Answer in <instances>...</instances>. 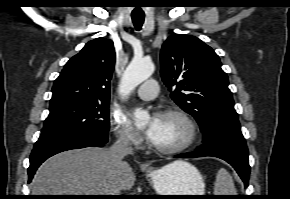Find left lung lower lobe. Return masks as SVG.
I'll use <instances>...</instances> for the list:
<instances>
[{"mask_svg": "<svg viewBox=\"0 0 290 199\" xmlns=\"http://www.w3.org/2000/svg\"><path fill=\"white\" fill-rule=\"evenodd\" d=\"M212 156L225 160L231 164L248 186L250 166L248 163V149L241 132H219L195 153H187L178 157L196 158Z\"/></svg>", "mask_w": 290, "mask_h": 199, "instance_id": "1", "label": "left lung lower lobe"}]
</instances>
